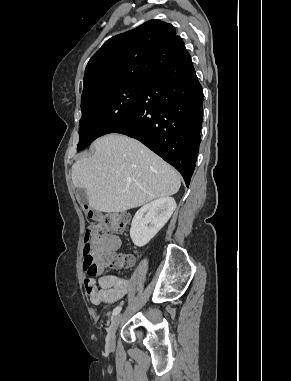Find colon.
<instances>
[{
  "label": "colon",
  "instance_id": "1",
  "mask_svg": "<svg viewBox=\"0 0 291 381\" xmlns=\"http://www.w3.org/2000/svg\"><path fill=\"white\" fill-rule=\"evenodd\" d=\"M86 211L93 223L86 229L83 237V267L87 273L94 277L104 268L119 270L133 265L132 255H121L112 251L100 252L94 240L96 232L106 234L126 233L130 226V215L127 213H101L86 207Z\"/></svg>",
  "mask_w": 291,
  "mask_h": 381
}]
</instances>
